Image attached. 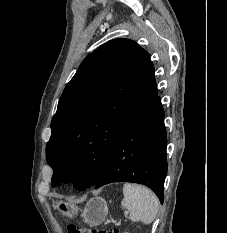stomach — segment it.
Listing matches in <instances>:
<instances>
[{"label": "stomach", "mask_w": 227, "mask_h": 233, "mask_svg": "<svg viewBox=\"0 0 227 233\" xmlns=\"http://www.w3.org/2000/svg\"><path fill=\"white\" fill-rule=\"evenodd\" d=\"M56 207L64 216L69 218L75 216L79 210L74 204L62 200L56 202ZM107 214L108 206L106 201L96 197L86 204L82 212V218L89 226H97L105 221Z\"/></svg>", "instance_id": "stomach-1"}]
</instances>
